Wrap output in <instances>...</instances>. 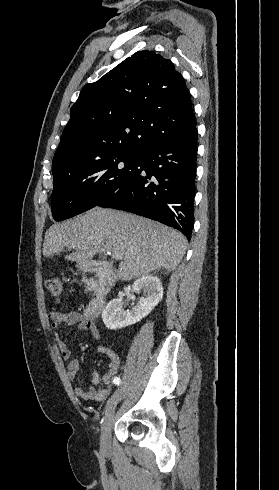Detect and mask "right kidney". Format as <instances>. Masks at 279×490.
<instances>
[{"label": "right kidney", "mask_w": 279, "mask_h": 490, "mask_svg": "<svg viewBox=\"0 0 279 490\" xmlns=\"http://www.w3.org/2000/svg\"><path fill=\"white\" fill-rule=\"evenodd\" d=\"M132 288L133 292H143L144 298L137 302V306H134L131 312L123 310L120 300H111L102 312L103 324L108 330H118V328H126V326L140 322L163 298L162 284L154 274L141 276L134 282Z\"/></svg>", "instance_id": "ca27d5eb"}]
</instances>
